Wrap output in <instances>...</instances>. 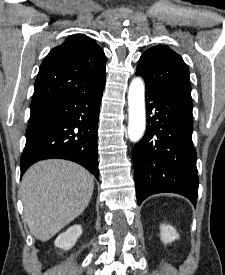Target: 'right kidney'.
Here are the masks:
<instances>
[{
  "label": "right kidney",
  "instance_id": "ca27d5eb",
  "mask_svg": "<svg viewBox=\"0 0 225 275\" xmlns=\"http://www.w3.org/2000/svg\"><path fill=\"white\" fill-rule=\"evenodd\" d=\"M82 234V227L80 225L71 226L66 230V232L61 233L55 240L54 244L56 247L62 250H69L71 249L77 239Z\"/></svg>",
  "mask_w": 225,
  "mask_h": 275
}]
</instances>
